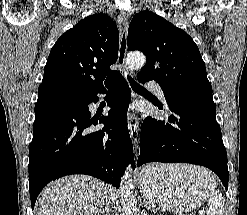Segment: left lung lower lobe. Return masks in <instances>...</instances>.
<instances>
[{
    "instance_id": "1",
    "label": "left lung lower lobe",
    "mask_w": 247,
    "mask_h": 215,
    "mask_svg": "<svg viewBox=\"0 0 247 215\" xmlns=\"http://www.w3.org/2000/svg\"><path fill=\"white\" fill-rule=\"evenodd\" d=\"M140 82L150 79L137 75ZM173 114L166 122L143 118L140 130V155L137 166L147 162L191 163L214 171L228 188L227 154L215 105L201 101L168 102Z\"/></svg>"
}]
</instances>
